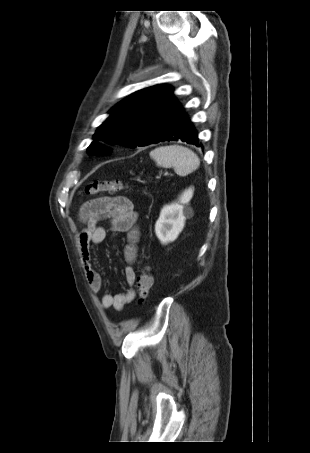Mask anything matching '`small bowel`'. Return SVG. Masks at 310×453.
Returning <instances> with one entry per match:
<instances>
[{
	"label": "small bowel",
	"mask_w": 310,
	"mask_h": 453,
	"mask_svg": "<svg viewBox=\"0 0 310 453\" xmlns=\"http://www.w3.org/2000/svg\"><path fill=\"white\" fill-rule=\"evenodd\" d=\"M80 221L84 228L79 235V243L83 267L88 284L94 293H99L103 288V279L99 272L92 267L91 244L98 245L107 235L104 221L109 223V228L115 232L126 234V244L123 249L125 260V280L128 290L125 293L104 294L100 304L103 309L115 308L122 310L135 297L133 289L136 280L134 264L137 259V244L140 232L137 226L138 214L133 203L124 196H103L86 201L79 211Z\"/></svg>",
	"instance_id": "small-bowel-1"
}]
</instances>
